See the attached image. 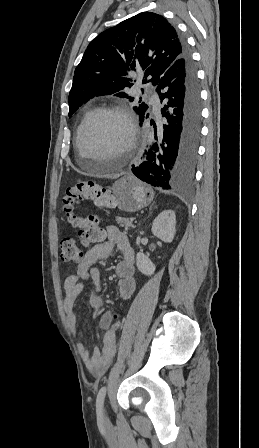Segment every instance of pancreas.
Listing matches in <instances>:
<instances>
[{
	"instance_id": "1",
	"label": "pancreas",
	"mask_w": 259,
	"mask_h": 448,
	"mask_svg": "<svg viewBox=\"0 0 259 448\" xmlns=\"http://www.w3.org/2000/svg\"><path fill=\"white\" fill-rule=\"evenodd\" d=\"M135 218H119L117 216L116 222L117 224H120L121 228H125V230H130V228H135L133 222Z\"/></svg>"
}]
</instances>
